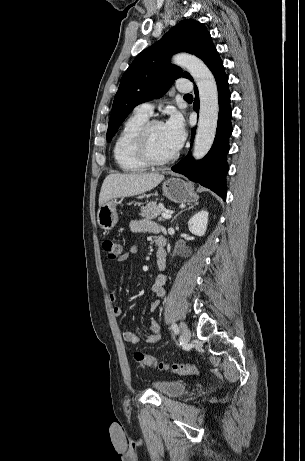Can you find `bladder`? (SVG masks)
I'll return each instance as SVG.
<instances>
[{
    "label": "bladder",
    "mask_w": 305,
    "mask_h": 461,
    "mask_svg": "<svg viewBox=\"0 0 305 461\" xmlns=\"http://www.w3.org/2000/svg\"><path fill=\"white\" fill-rule=\"evenodd\" d=\"M153 386L158 393L168 397L180 396L187 390V384L181 380H158Z\"/></svg>",
    "instance_id": "1"
}]
</instances>
